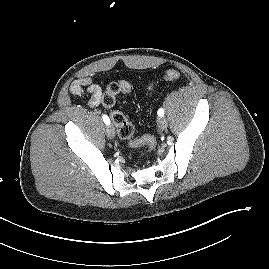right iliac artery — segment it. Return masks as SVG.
<instances>
[{"label": "right iliac artery", "instance_id": "right-iliac-artery-1", "mask_svg": "<svg viewBox=\"0 0 269 269\" xmlns=\"http://www.w3.org/2000/svg\"><path fill=\"white\" fill-rule=\"evenodd\" d=\"M102 118H103V121H104V123L106 124V125H109L110 124V119H109V117L107 116V115H103L102 116Z\"/></svg>", "mask_w": 269, "mask_h": 269}]
</instances>
